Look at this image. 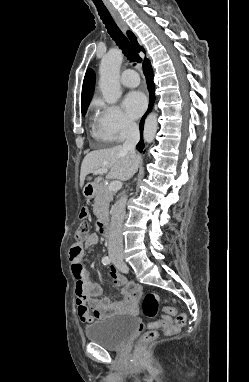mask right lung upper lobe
<instances>
[{
    "mask_svg": "<svg viewBox=\"0 0 249 382\" xmlns=\"http://www.w3.org/2000/svg\"><path fill=\"white\" fill-rule=\"evenodd\" d=\"M129 39L131 40L134 48L139 52L144 49L138 44L137 39L133 33L130 31L127 32ZM95 85V73L92 69H88L82 87V96H81V111L87 110L90 100L93 95Z\"/></svg>",
    "mask_w": 249,
    "mask_h": 382,
    "instance_id": "1",
    "label": "right lung upper lobe"
}]
</instances>
